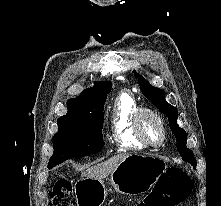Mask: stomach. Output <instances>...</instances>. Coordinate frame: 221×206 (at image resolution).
<instances>
[{"label": "stomach", "instance_id": "obj_1", "mask_svg": "<svg viewBox=\"0 0 221 206\" xmlns=\"http://www.w3.org/2000/svg\"><path fill=\"white\" fill-rule=\"evenodd\" d=\"M165 161L153 155H128L111 173L109 182L121 194L145 193L166 170ZM108 193L104 180L82 178L77 186L79 206H101Z\"/></svg>", "mask_w": 221, "mask_h": 206}]
</instances>
